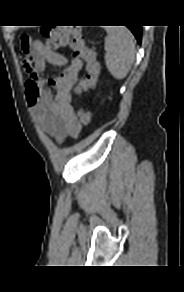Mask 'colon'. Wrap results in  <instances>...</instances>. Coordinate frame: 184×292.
<instances>
[{
	"label": "colon",
	"instance_id": "colon-1",
	"mask_svg": "<svg viewBox=\"0 0 184 292\" xmlns=\"http://www.w3.org/2000/svg\"><path fill=\"white\" fill-rule=\"evenodd\" d=\"M41 32L45 37L48 49H59L69 45L73 53V58L84 60L86 62V75L76 86L75 93L79 94L83 91L94 88L100 68L96 52L94 49L86 46L81 28L78 25L45 27L41 29ZM29 41L30 39L28 37H22V45H28ZM78 118L84 126H88L91 122L90 112L84 109L78 111Z\"/></svg>",
	"mask_w": 184,
	"mask_h": 292
}]
</instances>
